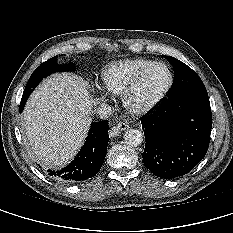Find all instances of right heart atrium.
<instances>
[{"label": "right heart atrium", "mask_w": 233, "mask_h": 233, "mask_svg": "<svg viewBox=\"0 0 233 233\" xmlns=\"http://www.w3.org/2000/svg\"><path fill=\"white\" fill-rule=\"evenodd\" d=\"M107 97H108V96H107V94H106L105 92H102V93H101V98H102V99H106Z\"/></svg>", "instance_id": "obj_1"}]
</instances>
